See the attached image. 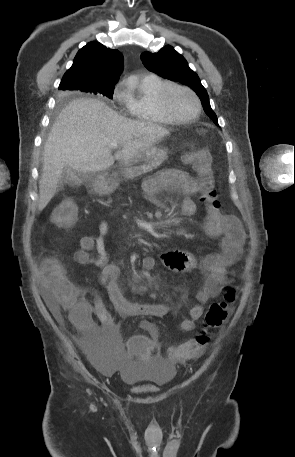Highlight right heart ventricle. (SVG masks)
<instances>
[{
  "label": "right heart ventricle",
  "mask_w": 295,
  "mask_h": 457,
  "mask_svg": "<svg viewBox=\"0 0 295 457\" xmlns=\"http://www.w3.org/2000/svg\"><path fill=\"white\" fill-rule=\"evenodd\" d=\"M168 81L156 75H146L134 82L125 94L128 114L137 121L154 124L173 122L160 108L158 95Z\"/></svg>",
  "instance_id": "e07e8e85"
}]
</instances>
